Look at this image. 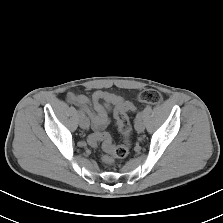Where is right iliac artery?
I'll return each mask as SVG.
<instances>
[{
    "label": "right iliac artery",
    "instance_id": "obj_1",
    "mask_svg": "<svg viewBox=\"0 0 223 223\" xmlns=\"http://www.w3.org/2000/svg\"><path fill=\"white\" fill-rule=\"evenodd\" d=\"M79 114H80V116H81V115H83V116H84V114H83L82 110H80V111H79Z\"/></svg>",
    "mask_w": 223,
    "mask_h": 223
}]
</instances>
